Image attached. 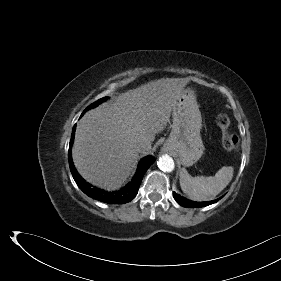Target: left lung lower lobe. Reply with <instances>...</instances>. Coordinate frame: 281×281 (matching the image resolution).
<instances>
[{"label": "left lung lower lobe", "mask_w": 281, "mask_h": 281, "mask_svg": "<svg viewBox=\"0 0 281 281\" xmlns=\"http://www.w3.org/2000/svg\"><path fill=\"white\" fill-rule=\"evenodd\" d=\"M173 196L175 198V200L177 201L178 204H180L183 207H188V208H196V207H204L210 204H213L215 202H217L219 199H221L222 197H220L219 199L213 200V201H207V202H194L191 201L189 199H186L184 197H181L180 195L176 194L175 192H173Z\"/></svg>", "instance_id": "1"}]
</instances>
